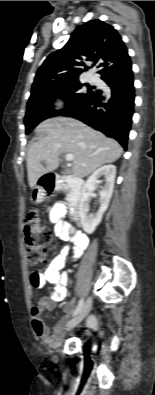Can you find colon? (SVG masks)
<instances>
[{"instance_id":"obj_1","label":"colon","mask_w":155,"mask_h":395,"mask_svg":"<svg viewBox=\"0 0 155 395\" xmlns=\"http://www.w3.org/2000/svg\"><path fill=\"white\" fill-rule=\"evenodd\" d=\"M51 240V230L42 222L36 211H31L24 228L25 254L29 265L36 266L45 260L46 248Z\"/></svg>"}]
</instances>
